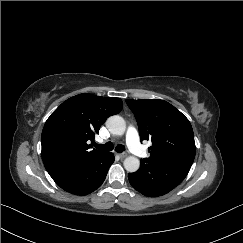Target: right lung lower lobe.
<instances>
[{
    "label": "right lung lower lobe",
    "mask_w": 243,
    "mask_h": 243,
    "mask_svg": "<svg viewBox=\"0 0 243 243\" xmlns=\"http://www.w3.org/2000/svg\"><path fill=\"white\" fill-rule=\"evenodd\" d=\"M113 162V154L106 152L80 166L50 176L65 191L75 195H86L102 185Z\"/></svg>",
    "instance_id": "obj_1"
}]
</instances>
